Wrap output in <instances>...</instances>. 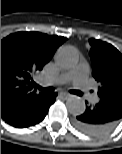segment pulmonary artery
Returning a JSON list of instances; mask_svg holds the SVG:
<instances>
[{
    "mask_svg": "<svg viewBox=\"0 0 122 154\" xmlns=\"http://www.w3.org/2000/svg\"><path fill=\"white\" fill-rule=\"evenodd\" d=\"M87 74V64L81 63L69 72L60 74L56 78L52 79L49 83L52 85H62L73 80L80 90L85 91L89 84L87 80ZM91 100L94 103L98 102V98L96 96H91Z\"/></svg>",
    "mask_w": 122,
    "mask_h": 154,
    "instance_id": "obj_1",
    "label": "pulmonary artery"
}]
</instances>
